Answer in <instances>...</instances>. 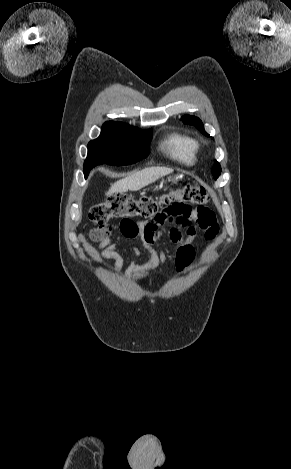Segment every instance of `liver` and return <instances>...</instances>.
<instances>
[{
  "label": "liver",
  "mask_w": 291,
  "mask_h": 469,
  "mask_svg": "<svg viewBox=\"0 0 291 469\" xmlns=\"http://www.w3.org/2000/svg\"><path fill=\"white\" fill-rule=\"evenodd\" d=\"M172 172L173 169L166 167L145 168L112 184L106 195L110 196L116 193L127 192L128 190H140L160 177L166 176Z\"/></svg>",
  "instance_id": "1"
}]
</instances>
